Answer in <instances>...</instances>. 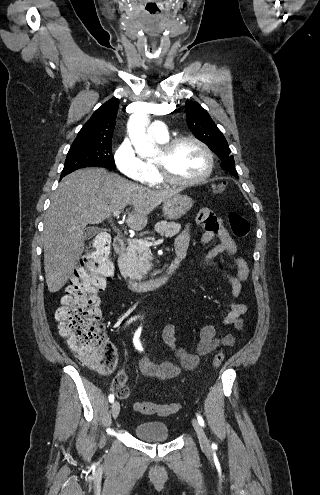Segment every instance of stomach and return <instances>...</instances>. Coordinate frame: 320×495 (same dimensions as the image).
Masks as SVG:
<instances>
[{"instance_id":"obj_1","label":"stomach","mask_w":320,"mask_h":495,"mask_svg":"<svg viewBox=\"0 0 320 495\" xmlns=\"http://www.w3.org/2000/svg\"><path fill=\"white\" fill-rule=\"evenodd\" d=\"M193 206V201L187 195L175 194L163 202L164 216L169 220H177L185 215Z\"/></svg>"}]
</instances>
